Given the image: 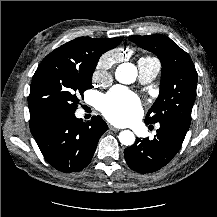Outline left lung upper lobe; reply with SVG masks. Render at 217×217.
Instances as JSON below:
<instances>
[{
    "label": "left lung upper lobe",
    "instance_id": "5c2ea615",
    "mask_svg": "<svg viewBox=\"0 0 217 217\" xmlns=\"http://www.w3.org/2000/svg\"><path fill=\"white\" fill-rule=\"evenodd\" d=\"M129 39L157 55L162 64L159 96L149 109L145 123L175 120L190 126L197 88V72L190 56L164 35L132 36Z\"/></svg>",
    "mask_w": 217,
    "mask_h": 217
}]
</instances>
